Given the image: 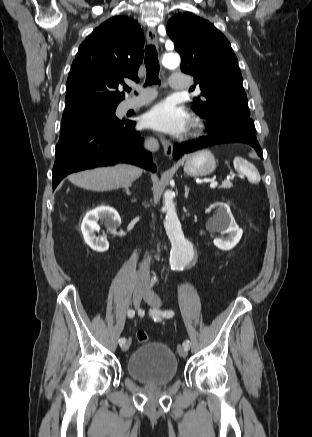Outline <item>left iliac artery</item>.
Segmentation results:
<instances>
[{
    "label": "left iliac artery",
    "mask_w": 312,
    "mask_h": 437,
    "mask_svg": "<svg viewBox=\"0 0 312 437\" xmlns=\"http://www.w3.org/2000/svg\"><path fill=\"white\" fill-rule=\"evenodd\" d=\"M151 315L153 318H159L160 316L171 318L174 316V312L172 310H166V311L152 310ZM183 346L188 349L190 346L189 340L184 341Z\"/></svg>",
    "instance_id": "left-iliac-artery-1"
}]
</instances>
